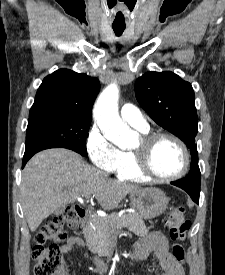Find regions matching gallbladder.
Listing matches in <instances>:
<instances>
[{"mask_svg": "<svg viewBox=\"0 0 225 275\" xmlns=\"http://www.w3.org/2000/svg\"><path fill=\"white\" fill-rule=\"evenodd\" d=\"M63 211H64V207H60L54 211V214L59 215V214L63 213Z\"/></svg>", "mask_w": 225, "mask_h": 275, "instance_id": "bac80fb5", "label": "gallbladder"}]
</instances>
